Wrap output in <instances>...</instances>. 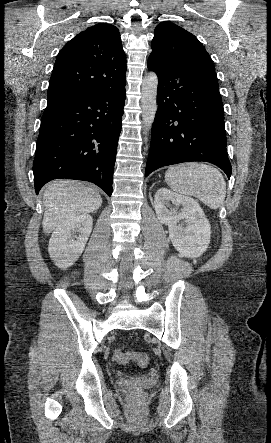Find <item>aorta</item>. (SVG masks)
Returning a JSON list of instances; mask_svg holds the SVG:
<instances>
[{
    "instance_id": "1",
    "label": "aorta",
    "mask_w": 271,
    "mask_h": 443,
    "mask_svg": "<svg viewBox=\"0 0 271 443\" xmlns=\"http://www.w3.org/2000/svg\"><path fill=\"white\" fill-rule=\"evenodd\" d=\"M157 88L158 78L155 72L145 74L141 90L142 120L144 124V134H148L152 128L157 112Z\"/></svg>"
}]
</instances>
